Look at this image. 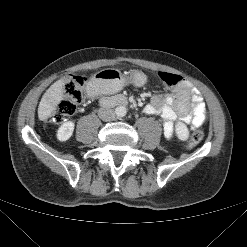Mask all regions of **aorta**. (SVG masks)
Wrapping results in <instances>:
<instances>
[{
  "label": "aorta",
  "mask_w": 247,
  "mask_h": 247,
  "mask_svg": "<svg viewBox=\"0 0 247 247\" xmlns=\"http://www.w3.org/2000/svg\"><path fill=\"white\" fill-rule=\"evenodd\" d=\"M115 113L118 117H124L127 114V109L125 106H118L115 109Z\"/></svg>",
  "instance_id": "aorta-1"
}]
</instances>
